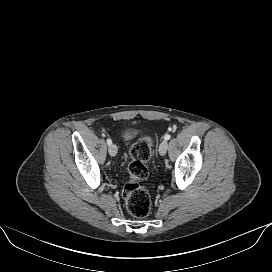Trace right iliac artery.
Wrapping results in <instances>:
<instances>
[{
	"instance_id": "1",
	"label": "right iliac artery",
	"mask_w": 272,
	"mask_h": 272,
	"mask_svg": "<svg viewBox=\"0 0 272 272\" xmlns=\"http://www.w3.org/2000/svg\"><path fill=\"white\" fill-rule=\"evenodd\" d=\"M107 144L110 146L111 144H112V141H111V139H107Z\"/></svg>"
}]
</instances>
